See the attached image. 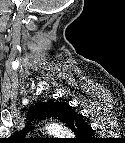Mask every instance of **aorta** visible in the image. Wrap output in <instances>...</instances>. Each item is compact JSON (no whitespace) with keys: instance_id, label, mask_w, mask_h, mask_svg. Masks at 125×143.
Listing matches in <instances>:
<instances>
[{"instance_id":"762f6f07","label":"aorta","mask_w":125,"mask_h":143,"mask_svg":"<svg viewBox=\"0 0 125 143\" xmlns=\"http://www.w3.org/2000/svg\"><path fill=\"white\" fill-rule=\"evenodd\" d=\"M46 132L52 134V133H68L69 131L67 130L66 127H64L62 124L58 123H52L49 124L45 127Z\"/></svg>"}]
</instances>
